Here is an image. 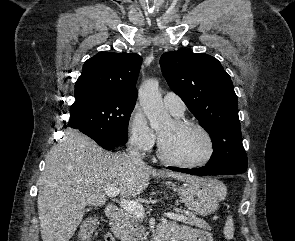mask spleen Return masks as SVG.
<instances>
[{
  "instance_id": "obj_1",
  "label": "spleen",
  "mask_w": 295,
  "mask_h": 241,
  "mask_svg": "<svg viewBox=\"0 0 295 241\" xmlns=\"http://www.w3.org/2000/svg\"><path fill=\"white\" fill-rule=\"evenodd\" d=\"M224 236L226 239H232L234 236V222L232 216H228L224 230H223Z\"/></svg>"
}]
</instances>
